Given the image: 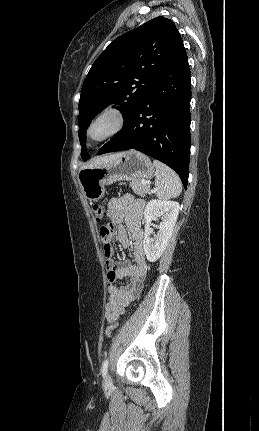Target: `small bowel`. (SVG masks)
Listing matches in <instances>:
<instances>
[{
  "mask_svg": "<svg viewBox=\"0 0 259 431\" xmlns=\"http://www.w3.org/2000/svg\"><path fill=\"white\" fill-rule=\"evenodd\" d=\"M144 201L130 196L112 198L108 203V218L119 225L117 239L122 247L131 249L132 263L116 262L110 251L106 256L109 301L106 305L105 319L109 323L117 322L125 308L141 293L147 273L148 263L143 249V231L141 228ZM129 278L127 285L120 287L117 280Z\"/></svg>",
  "mask_w": 259,
  "mask_h": 431,
  "instance_id": "small-bowel-1",
  "label": "small bowel"
}]
</instances>
